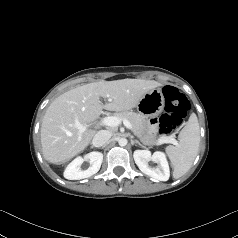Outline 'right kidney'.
<instances>
[{"mask_svg": "<svg viewBox=\"0 0 238 238\" xmlns=\"http://www.w3.org/2000/svg\"><path fill=\"white\" fill-rule=\"evenodd\" d=\"M89 160L91 166L87 170H81L80 166L84 160ZM103 154L101 152L93 151L88 153L85 158L77 157L75 158L65 169L64 177L69 180H80L88 178L96 174L102 164Z\"/></svg>", "mask_w": 238, "mask_h": 238, "instance_id": "right-kidney-1", "label": "right kidney"}]
</instances>
